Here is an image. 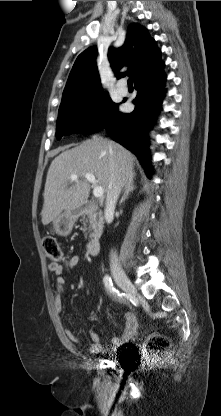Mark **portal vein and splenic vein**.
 Returning <instances> with one entry per match:
<instances>
[{
  "mask_svg": "<svg viewBox=\"0 0 221 416\" xmlns=\"http://www.w3.org/2000/svg\"><path fill=\"white\" fill-rule=\"evenodd\" d=\"M83 175H84L85 179L88 182H90V183H92L94 185L93 195L96 198H101L103 196V194H104V191H103V188L100 185L97 184L98 181L96 180L94 174L84 173ZM70 178L72 180H76L78 178V175L77 174H71Z\"/></svg>",
  "mask_w": 221,
  "mask_h": 416,
  "instance_id": "1",
  "label": "portal vein and splenic vein"
}]
</instances>
